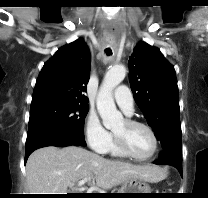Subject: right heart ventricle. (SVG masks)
<instances>
[{"label": "right heart ventricle", "instance_id": "obj_1", "mask_svg": "<svg viewBox=\"0 0 208 198\" xmlns=\"http://www.w3.org/2000/svg\"><path fill=\"white\" fill-rule=\"evenodd\" d=\"M107 152L110 153L111 156H114V157H118V158H124L126 157L119 149L118 147L116 146L115 142L114 141H111V144L107 150Z\"/></svg>", "mask_w": 208, "mask_h": 198}]
</instances>
